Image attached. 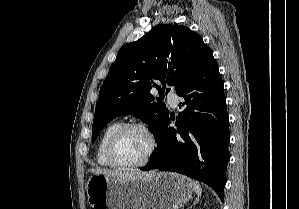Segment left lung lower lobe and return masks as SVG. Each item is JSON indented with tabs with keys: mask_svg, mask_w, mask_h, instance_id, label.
I'll use <instances>...</instances> for the list:
<instances>
[{
	"mask_svg": "<svg viewBox=\"0 0 299 209\" xmlns=\"http://www.w3.org/2000/svg\"><path fill=\"white\" fill-rule=\"evenodd\" d=\"M184 110L169 127V115L155 140L158 149L141 170L174 171L209 185L224 199L226 167L229 162V116L218 65L214 58L176 91ZM173 120V119H172Z\"/></svg>",
	"mask_w": 299,
	"mask_h": 209,
	"instance_id": "0a47b994",
	"label": "left lung lower lobe"
}]
</instances>
